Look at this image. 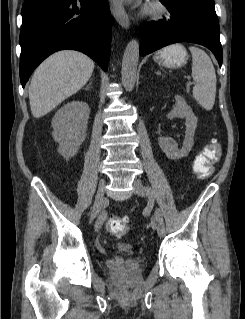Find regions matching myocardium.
I'll return each instance as SVG.
<instances>
[{"label": "myocardium", "instance_id": "1", "mask_svg": "<svg viewBox=\"0 0 245 319\" xmlns=\"http://www.w3.org/2000/svg\"><path fill=\"white\" fill-rule=\"evenodd\" d=\"M145 14L150 19L157 21L163 19L167 15V9L162 3L154 1L146 7Z\"/></svg>", "mask_w": 245, "mask_h": 319}]
</instances>
